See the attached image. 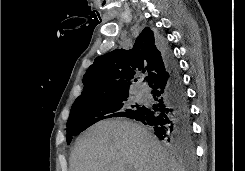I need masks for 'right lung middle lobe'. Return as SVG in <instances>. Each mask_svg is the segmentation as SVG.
I'll list each match as a JSON object with an SVG mask.
<instances>
[{
	"label": "right lung middle lobe",
	"instance_id": "1",
	"mask_svg": "<svg viewBox=\"0 0 245 171\" xmlns=\"http://www.w3.org/2000/svg\"><path fill=\"white\" fill-rule=\"evenodd\" d=\"M128 97L129 94H119L97 100L75 101L67 121V144L74 136L100 120L111 117L133 118L137 115L142 105L130 103Z\"/></svg>",
	"mask_w": 245,
	"mask_h": 171
}]
</instances>
